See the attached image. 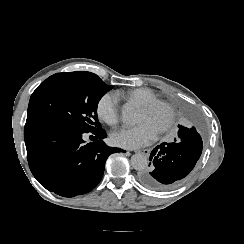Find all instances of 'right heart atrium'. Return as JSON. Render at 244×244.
<instances>
[{"mask_svg":"<svg viewBox=\"0 0 244 244\" xmlns=\"http://www.w3.org/2000/svg\"><path fill=\"white\" fill-rule=\"evenodd\" d=\"M99 119L108 125H116L120 120L118 100L114 93L106 92L100 96L96 104Z\"/></svg>","mask_w":244,"mask_h":244,"instance_id":"obj_1","label":"right heart atrium"}]
</instances>
